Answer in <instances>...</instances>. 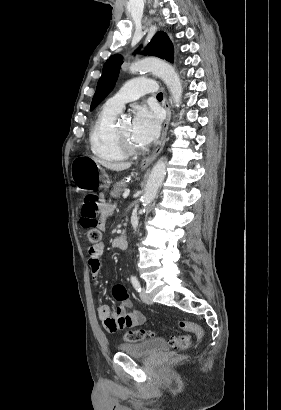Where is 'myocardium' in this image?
<instances>
[{
  "label": "myocardium",
  "mask_w": 281,
  "mask_h": 410,
  "mask_svg": "<svg viewBox=\"0 0 281 410\" xmlns=\"http://www.w3.org/2000/svg\"><path fill=\"white\" fill-rule=\"evenodd\" d=\"M115 137L126 154L133 155L141 152L142 149L138 146L133 145L128 138L123 136L118 127H115Z\"/></svg>",
  "instance_id": "1"
}]
</instances>
